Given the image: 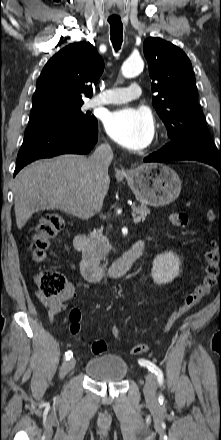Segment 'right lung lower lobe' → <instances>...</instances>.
I'll use <instances>...</instances> for the list:
<instances>
[{"label": "right lung lower lobe", "instance_id": "1", "mask_svg": "<svg viewBox=\"0 0 221 440\" xmlns=\"http://www.w3.org/2000/svg\"><path fill=\"white\" fill-rule=\"evenodd\" d=\"M97 122L90 127H70L59 123L28 126L17 156L14 176L27 164L59 154H86L97 142Z\"/></svg>", "mask_w": 221, "mask_h": 440}]
</instances>
